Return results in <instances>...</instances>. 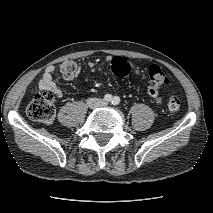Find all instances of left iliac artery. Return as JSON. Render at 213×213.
Returning a JSON list of instances; mask_svg holds the SVG:
<instances>
[{
    "mask_svg": "<svg viewBox=\"0 0 213 213\" xmlns=\"http://www.w3.org/2000/svg\"><path fill=\"white\" fill-rule=\"evenodd\" d=\"M120 103V98L118 96H115L112 100L113 105H118Z\"/></svg>",
    "mask_w": 213,
    "mask_h": 213,
    "instance_id": "1",
    "label": "left iliac artery"
}]
</instances>
